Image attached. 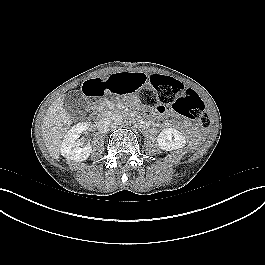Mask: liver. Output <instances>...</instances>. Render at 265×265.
I'll use <instances>...</instances> for the list:
<instances>
[{"instance_id":"6515ba94","label":"liver","mask_w":265,"mask_h":265,"mask_svg":"<svg viewBox=\"0 0 265 265\" xmlns=\"http://www.w3.org/2000/svg\"><path fill=\"white\" fill-rule=\"evenodd\" d=\"M64 96H60L48 108L42 124L45 145L54 159H58L62 138L72 124L71 116L64 109Z\"/></svg>"}]
</instances>
